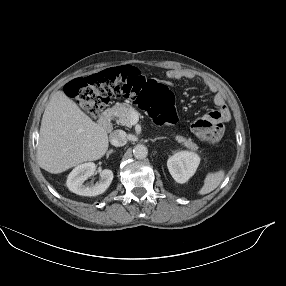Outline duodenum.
Instances as JSON below:
<instances>
[{"label":"duodenum","instance_id":"duodenum-1","mask_svg":"<svg viewBox=\"0 0 286 286\" xmlns=\"http://www.w3.org/2000/svg\"><path fill=\"white\" fill-rule=\"evenodd\" d=\"M100 124L102 128L106 131L112 130V120H111V111L109 109H105L100 118Z\"/></svg>","mask_w":286,"mask_h":286}]
</instances>
